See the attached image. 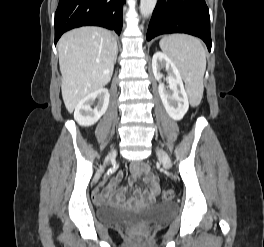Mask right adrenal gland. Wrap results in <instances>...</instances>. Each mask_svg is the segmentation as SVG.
<instances>
[{"mask_svg":"<svg viewBox=\"0 0 264 247\" xmlns=\"http://www.w3.org/2000/svg\"><path fill=\"white\" fill-rule=\"evenodd\" d=\"M116 59H117V56L115 57V60H114L115 63H116Z\"/></svg>","mask_w":264,"mask_h":247,"instance_id":"right-adrenal-gland-1","label":"right adrenal gland"}]
</instances>
